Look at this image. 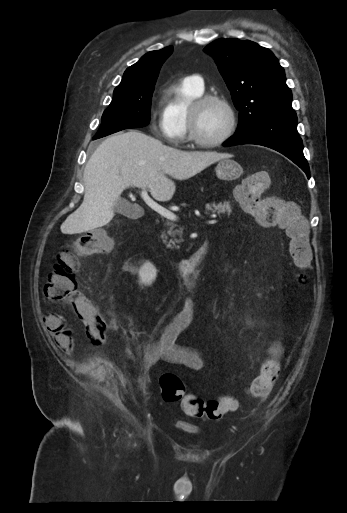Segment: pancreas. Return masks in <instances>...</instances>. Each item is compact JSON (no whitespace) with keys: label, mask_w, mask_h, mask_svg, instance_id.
<instances>
[{"label":"pancreas","mask_w":347,"mask_h":513,"mask_svg":"<svg viewBox=\"0 0 347 513\" xmlns=\"http://www.w3.org/2000/svg\"><path fill=\"white\" fill-rule=\"evenodd\" d=\"M206 209L208 211H211L212 213H217L218 215L220 214H223L225 216H230L231 212H232V206L230 204V202L228 201H225V202H220L218 204H215V202L213 203H210V204H207L206 205ZM169 226V230L167 231V234L171 237H175L176 235H179L181 236L182 235V229L179 228V229H175V226L174 224H168ZM162 237L164 239H167V236L165 233L162 234ZM164 242H166V240H164ZM171 243H173L172 240H170L167 244V247H170L171 246Z\"/></svg>","instance_id":"pancreas-1"}]
</instances>
